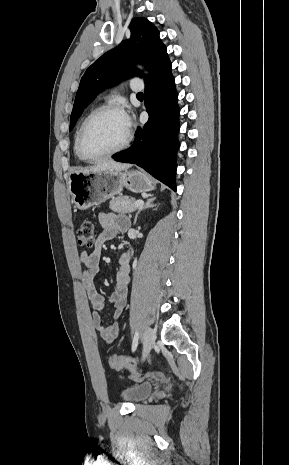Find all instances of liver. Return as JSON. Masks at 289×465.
Listing matches in <instances>:
<instances>
[{
	"instance_id": "1",
	"label": "liver",
	"mask_w": 289,
	"mask_h": 465,
	"mask_svg": "<svg viewBox=\"0 0 289 465\" xmlns=\"http://www.w3.org/2000/svg\"><path fill=\"white\" fill-rule=\"evenodd\" d=\"M130 167H131V164H128V163H119L113 160H106L95 166H92L86 169H81L76 172L89 173V172H102V171H123Z\"/></svg>"
}]
</instances>
